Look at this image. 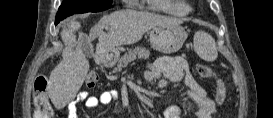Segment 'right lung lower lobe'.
Masks as SVG:
<instances>
[{
    "instance_id": "right-lung-lower-lobe-1",
    "label": "right lung lower lobe",
    "mask_w": 273,
    "mask_h": 118,
    "mask_svg": "<svg viewBox=\"0 0 273 118\" xmlns=\"http://www.w3.org/2000/svg\"><path fill=\"white\" fill-rule=\"evenodd\" d=\"M64 18H65V17L56 15L55 25H57V24H58L61 20H63Z\"/></svg>"
}]
</instances>
